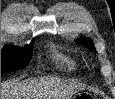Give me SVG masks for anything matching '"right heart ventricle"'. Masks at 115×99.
<instances>
[{"label": "right heart ventricle", "mask_w": 115, "mask_h": 99, "mask_svg": "<svg viewBox=\"0 0 115 99\" xmlns=\"http://www.w3.org/2000/svg\"><path fill=\"white\" fill-rule=\"evenodd\" d=\"M51 56L58 67L66 69V70H75V62L68 56L56 51L52 50Z\"/></svg>", "instance_id": "right-heart-ventricle-1"}]
</instances>
